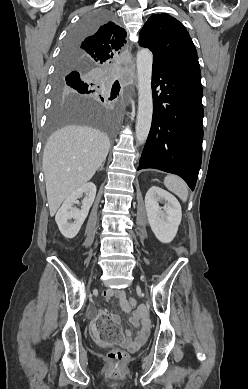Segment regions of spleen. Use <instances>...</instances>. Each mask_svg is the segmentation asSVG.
<instances>
[{
  "label": "spleen",
  "instance_id": "obj_1",
  "mask_svg": "<svg viewBox=\"0 0 248 389\" xmlns=\"http://www.w3.org/2000/svg\"><path fill=\"white\" fill-rule=\"evenodd\" d=\"M165 187L176 194L183 202L188 198V187L183 179L176 175H167L164 179Z\"/></svg>",
  "mask_w": 248,
  "mask_h": 389
}]
</instances>
